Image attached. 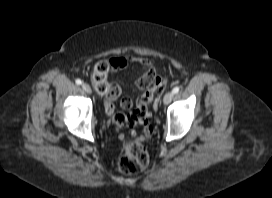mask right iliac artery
<instances>
[{
    "instance_id": "right-iliac-artery-1",
    "label": "right iliac artery",
    "mask_w": 272,
    "mask_h": 198,
    "mask_svg": "<svg viewBox=\"0 0 272 198\" xmlns=\"http://www.w3.org/2000/svg\"><path fill=\"white\" fill-rule=\"evenodd\" d=\"M75 82H76L77 85H80L82 83V81L80 79H76Z\"/></svg>"
}]
</instances>
